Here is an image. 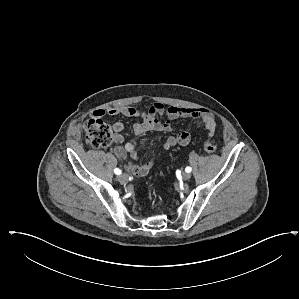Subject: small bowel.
Masks as SVG:
<instances>
[{"mask_svg": "<svg viewBox=\"0 0 299 299\" xmlns=\"http://www.w3.org/2000/svg\"><path fill=\"white\" fill-rule=\"evenodd\" d=\"M123 115L126 117L138 118L133 125V131L137 135H143L148 132H171L172 121L175 119H188L203 125L207 131L208 136L212 137L215 133L216 121L213 113L205 108H185V107H169L165 108L161 103L152 104L147 111H142L130 106L110 107L108 109H99L93 112L94 117H115ZM161 117H165L164 120ZM115 135L114 141L116 145L113 148L114 154L120 159L125 160L129 154L134 160L138 159V145H144L146 139H142L139 143L136 141H129L123 146L122 131L124 125L121 122H116L113 125ZM190 134L187 131H181L176 135L168 136L162 144L164 150H169L177 145L185 146L190 142ZM159 155L156 153L150 160L139 163L137 165L129 164V169L136 176H144L154 165L155 158Z\"/></svg>", "mask_w": 299, "mask_h": 299, "instance_id": "1", "label": "small bowel"}]
</instances>
